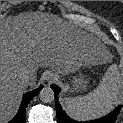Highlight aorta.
Returning a JSON list of instances; mask_svg holds the SVG:
<instances>
[{
    "label": "aorta",
    "mask_w": 123,
    "mask_h": 123,
    "mask_svg": "<svg viewBox=\"0 0 123 123\" xmlns=\"http://www.w3.org/2000/svg\"><path fill=\"white\" fill-rule=\"evenodd\" d=\"M39 97L42 102L50 103L54 100V91L50 87H45L40 91Z\"/></svg>",
    "instance_id": "aorta-1"
}]
</instances>
